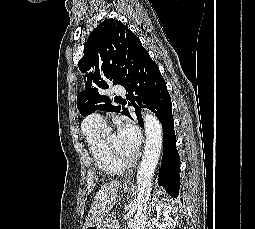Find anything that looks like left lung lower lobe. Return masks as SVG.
<instances>
[{"label":"left lung lower lobe","mask_w":255,"mask_h":229,"mask_svg":"<svg viewBox=\"0 0 255 229\" xmlns=\"http://www.w3.org/2000/svg\"><path fill=\"white\" fill-rule=\"evenodd\" d=\"M124 87L128 93L126 97L130 101L129 105L135 108L141 127L144 125L141 108H149L162 124L164 149L159 183L163 184L173 197H177L180 187V157L176 150L171 98L159 67L147 51L141 56ZM123 114L130 117L126 109Z\"/></svg>","instance_id":"0a47b994"}]
</instances>
